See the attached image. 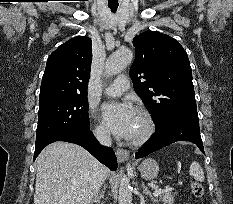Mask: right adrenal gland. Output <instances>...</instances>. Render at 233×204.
Returning <instances> with one entry per match:
<instances>
[{
	"mask_svg": "<svg viewBox=\"0 0 233 204\" xmlns=\"http://www.w3.org/2000/svg\"><path fill=\"white\" fill-rule=\"evenodd\" d=\"M102 199H104V191L103 190L95 195V197L91 201V204H93V203L100 204V201Z\"/></svg>",
	"mask_w": 233,
	"mask_h": 204,
	"instance_id": "1",
	"label": "right adrenal gland"
}]
</instances>
